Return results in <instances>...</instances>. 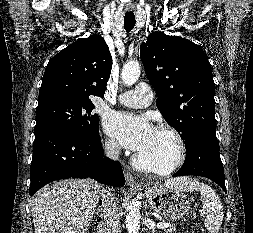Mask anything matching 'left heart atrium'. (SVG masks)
Here are the masks:
<instances>
[{
    "label": "left heart atrium",
    "instance_id": "obj_1",
    "mask_svg": "<svg viewBox=\"0 0 253 233\" xmlns=\"http://www.w3.org/2000/svg\"><path fill=\"white\" fill-rule=\"evenodd\" d=\"M108 134L114 136L124 147L141 151L154 131L148 118L134 116L125 112H112L104 120Z\"/></svg>",
    "mask_w": 253,
    "mask_h": 233
}]
</instances>
